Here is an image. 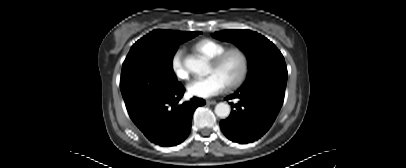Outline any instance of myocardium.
Masks as SVG:
<instances>
[{"mask_svg": "<svg viewBox=\"0 0 406 168\" xmlns=\"http://www.w3.org/2000/svg\"><path fill=\"white\" fill-rule=\"evenodd\" d=\"M233 53L237 54L240 57L241 71H240L239 76L237 77V79L234 82L225 86L226 89H228V90L237 89L246 80L248 72H249V67H250V59H249L248 53L241 47H231V48L225 49L224 51L219 53L217 56L210 59V64L213 67H219L223 63V61L226 59V57Z\"/></svg>", "mask_w": 406, "mask_h": 168, "instance_id": "1", "label": "myocardium"}]
</instances>
